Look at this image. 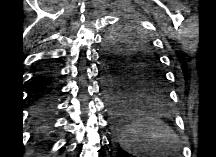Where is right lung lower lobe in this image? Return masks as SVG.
I'll list each match as a JSON object with an SVG mask.
<instances>
[{
	"label": "right lung lower lobe",
	"mask_w": 216,
	"mask_h": 157,
	"mask_svg": "<svg viewBox=\"0 0 216 157\" xmlns=\"http://www.w3.org/2000/svg\"><path fill=\"white\" fill-rule=\"evenodd\" d=\"M56 88L50 68H42L35 77L32 95L35 101L36 141L41 145L49 133Z\"/></svg>",
	"instance_id": "right-lung-lower-lobe-1"
}]
</instances>
